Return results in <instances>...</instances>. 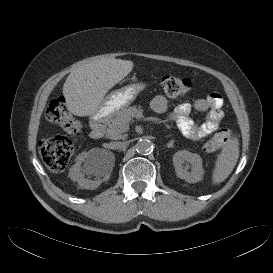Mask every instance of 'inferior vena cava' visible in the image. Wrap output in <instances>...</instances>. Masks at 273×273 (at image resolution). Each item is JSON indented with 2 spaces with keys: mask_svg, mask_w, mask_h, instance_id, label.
Masks as SVG:
<instances>
[{
  "mask_svg": "<svg viewBox=\"0 0 273 273\" xmlns=\"http://www.w3.org/2000/svg\"><path fill=\"white\" fill-rule=\"evenodd\" d=\"M126 145H127L126 142L118 141V142L111 143V148L112 149H122V148L126 147Z\"/></svg>",
  "mask_w": 273,
  "mask_h": 273,
  "instance_id": "602c4592",
  "label": "inferior vena cava"
}]
</instances>
